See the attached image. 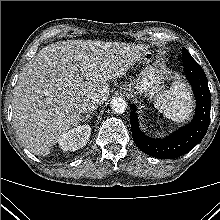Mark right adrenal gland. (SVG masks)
Masks as SVG:
<instances>
[{
    "label": "right adrenal gland",
    "mask_w": 220,
    "mask_h": 220,
    "mask_svg": "<svg viewBox=\"0 0 220 220\" xmlns=\"http://www.w3.org/2000/svg\"><path fill=\"white\" fill-rule=\"evenodd\" d=\"M93 117V113L90 112L89 114H86V116L81 118V121H89Z\"/></svg>",
    "instance_id": "obj_1"
}]
</instances>
